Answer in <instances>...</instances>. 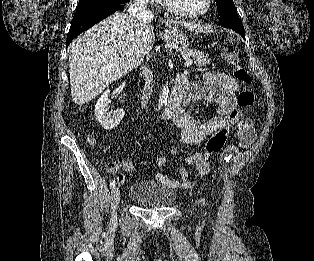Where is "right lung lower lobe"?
I'll return each instance as SVG.
<instances>
[{
	"label": "right lung lower lobe",
	"mask_w": 314,
	"mask_h": 261,
	"mask_svg": "<svg viewBox=\"0 0 314 261\" xmlns=\"http://www.w3.org/2000/svg\"><path fill=\"white\" fill-rule=\"evenodd\" d=\"M122 3H110L93 8L85 13L75 15L67 37L66 46L81 32L100 22L110 14L122 9Z\"/></svg>",
	"instance_id": "right-lung-lower-lobe-1"
}]
</instances>
